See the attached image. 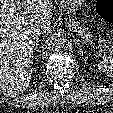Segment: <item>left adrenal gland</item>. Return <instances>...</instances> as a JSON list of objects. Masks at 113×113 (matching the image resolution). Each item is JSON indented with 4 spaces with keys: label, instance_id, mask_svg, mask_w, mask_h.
Returning <instances> with one entry per match:
<instances>
[{
    "label": "left adrenal gland",
    "instance_id": "1",
    "mask_svg": "<svg viewBox=\"0 0 113 113\" xmlns=\"http://www.w3.org/2000/svg\"><path fill=\"white\" fill-rule=\"evenodd\" d=\"M77 44H78V46H79V50H80V52L83 53V49H82V46H81L80 42L77 41Z\"/></svg>",
    "mask_w": 113,
    "mask_h": 113
}]
</instances>
